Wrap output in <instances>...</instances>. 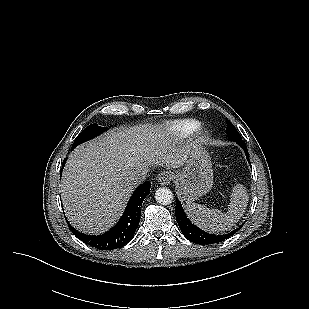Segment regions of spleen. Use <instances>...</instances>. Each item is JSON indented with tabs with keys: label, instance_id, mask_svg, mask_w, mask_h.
<instances>
[{
	"label": "spleen",
	"instance_id": "1",
	"mask_svg": "<svg viewBox=\"0 0 309 309\" xmlns=\"http://www.w3.org/2000/svg\"><path fill=\"white\" fill-rule=\"evenodd\" d=\"M248 200L247 190L243 185L237 184L232 189L226 213L192 202L186 203V210L190 219L200 228L211 233H222L230 230L244 215Z\"/></svg>",
	"mask_w": 309,
	"mask_h": 309
}]
</instances>
